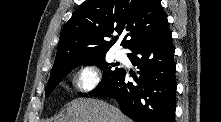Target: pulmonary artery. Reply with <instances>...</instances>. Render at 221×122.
Masks as SVG:
<instances>
[{
  "instance_id": "1",
  "label": "pulmonary artery",
  "mask_w": 221,
  "mask_h": 122,
  "mask_svg": "<svg viewBox=\"0 0 221 122\" xmlns=\"http://www.w3.org/2000/svg\"><path fill=\"white\" fill-rule=\"evenodd\" d=\"M115 57L118 60H124L126 58V55L122 50H117L115 53Z\"/></svg>"
}]
</instances>
